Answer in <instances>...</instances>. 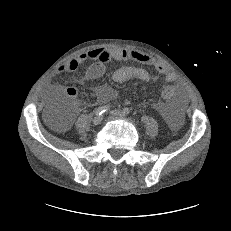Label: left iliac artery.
Listing matches in <instances>:
<instances>
[{"mask_svg":"<svg viewBox=\"0 0 231 231\" xmlns=\"http://www.w3.org/2000/svg\"><path fill=\"white\" fill-rule=\"evenodd\" d=\"M129 113H130L129 108H124V109H123V114H124V115H128Z\"/></svg>","mask_w":231,"mask_h":231,"instance_id":"44dca946","label":"left iliac artery"}]
</instances>
